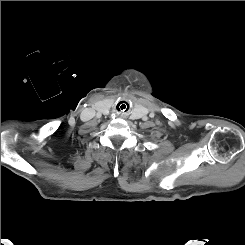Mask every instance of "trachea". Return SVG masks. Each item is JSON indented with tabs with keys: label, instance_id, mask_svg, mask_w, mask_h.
Instances as JSON below:
<instances>
[{
	"label": "trachea",
	"instance_id": "trachea-1",
	"mask_svg": "<svg viewBox=\"0 0 245 245\" xmlns=\"http://www.w3.org/2000/svg\"><path fill=\"white\" fill-rule=\"evenodd\" d=\"M130 103L127 101H121L117 104L116 109L119 113H126L130 109Z\"/></svg>",
	"mask_w": 245,
	"mask_h": 245
}]
</instances>
